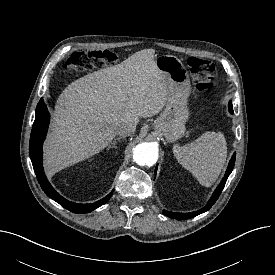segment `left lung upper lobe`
Instances as JSON below:
<instances>
[{"label": "left lung upper lobe", "mask_w": 275, "mask_h": 275, "mask_svg": "<svg viewBox=\"0 0 275 275\" xmlns=\"http://www.w3.org/2000/svg\"><path fill=\"white\" fill-rule=\"evenodd\" d=\"M228 107H229L230 113H233V106L231 102H229Z\"/></svg>", "instance_id": "left-lung-upper-lobe-1"}]
</instances>
